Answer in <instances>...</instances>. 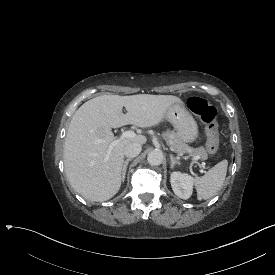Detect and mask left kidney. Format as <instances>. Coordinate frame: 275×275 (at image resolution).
<instances>
[{
	"label": "left kidney",
	"mask_w": 275,
	"mask_h": 275,
	"mask_svg": "<svg viewBox=\"0 0 275 275\" xmlns=\"http://www.w3.org/2000/svg\"><path fill=\"white\" fill-rule=\"evenodd\" d=\"M170 182L174 193L178 197L188 199L192 195L193 181L188 174L173 172L170 176Z\"/></svg>",
	"instance_id": "left-kidney-1"
}]
</instances>
